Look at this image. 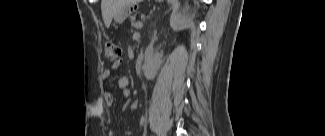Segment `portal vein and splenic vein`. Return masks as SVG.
<instances>
[{
	"label": "portal vein and splenic vein",
	"mask_w": 325,
	"mask_h": 136,
	"mask_svg": "<svg viewBox=\"0 0 325 136\" xmlns=\"http://www.w3.org/2000/svg\"><path fill=\"white\" fill-rule=\"evenodd\" d=\"M136 25H137V26H140V25H141V22H137Z\"/></svg>",
	"instance_id": "18ae733b"
}]
</instances>
